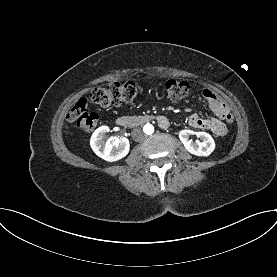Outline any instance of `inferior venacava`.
Instances as JSON below:
<instances>
[{
	"label": "inferior vena cava",
	"instance_id": "inferior-vena-cava-1",
	"mask_svg": "<svg viewBox=\"0 0 277 277\" xmlns=\"http://www.w3.org/2000/svg\"><path fill=\"white\" fill-rule=\"evenodd\" d=\"M145 134L140 128H135L132 131V137L135 141L141 142L145 139Z\"/></svg>",
	"mask_w": 277,
	"mask_h": 277
}]
</instances>
